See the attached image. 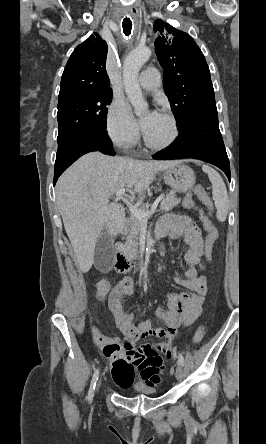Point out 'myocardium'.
Listing matches in <instances>:
<instances>
[{
    "mask_svg": "<svg viewBox=\"0 0 266 444\" xmlns=\"http://www.w3.org/2000/svg\"><path fill=\"white\" fill-rule=\"evenodd\" d=\"M162 115L165 116L170 121V123L172 125V134H171L170 138L164 144L158 145V144H154L149 139L146 132L143 130L144 143L151 150L161 151V150L168 149L176 142V140L179 136V125H178V121H177L176 117L172 113L167 112V111L162 112Z\"/></svg>",
    "mask_w": 266,
    "mask_h": 444,
    "instance_id": "1",
    "label": "myocardium"
}]
</instances>
